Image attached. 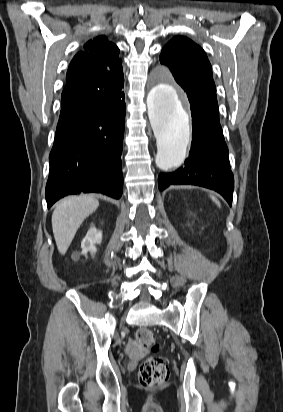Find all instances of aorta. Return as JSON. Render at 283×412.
Instances as JSON below:
<instances>
[{"label":"aorta","instance_id":"762f6f07","mask_svg":"<svg viewBox=\"0 0 283 412\" xmlns=\"http://www.w3.org/2000/svg\"><path fill=\"white\" fill-rule=\"evenodd\" d=\"M148 115L157 141L156 165L162 170L178 167L189 143V115L184 96L166 81L156 82L147 96Z\"/></svg>","mask_w":283,"mask_h":412}]
</instances>
